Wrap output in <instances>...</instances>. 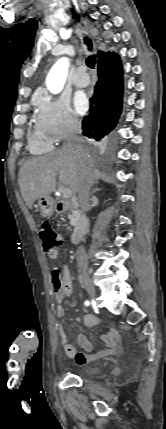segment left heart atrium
I'll list each match as a JSON object with an SVG mask.
<instances>
[{"mask_svg": "<svg viewBox=\"0 0 166 429\" xmlns=\"http://www.w3.org/2000/svg\"><path fill=\"white\" fill-rule=\"evenodd\" d=\"M74 107L78 114H84L88 109V100L85 94L77 93L74 97Z\"/></svg>", "mask_w": 166, "mask_h": 429, "instance_id": "1", "label": "left heart atrium"}]
</instances>
